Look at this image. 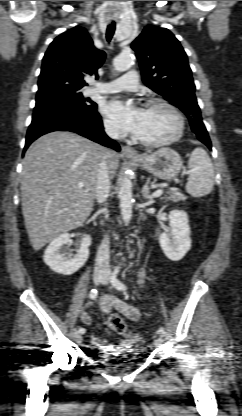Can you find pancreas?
I'll use <instances>...</instances> for the list:
<instances>
[{"label": "pancreas", "mask_w": 242, "mask_h": 416, "mask_svg": "<svg viewBox=\"0 0 242 416\" xmlns=\"http://www.w3.org/2000/svg\"><path fill=\"white\" fill-rule=\"evenodd\" d=\"M168 196L164 197L163 199L168 200V201H173V202H180V201H185L186 200V196L178 193L176 191H170L168 192Z\"/></svg>", "instance_id": "obj_1"}]
</instances>
